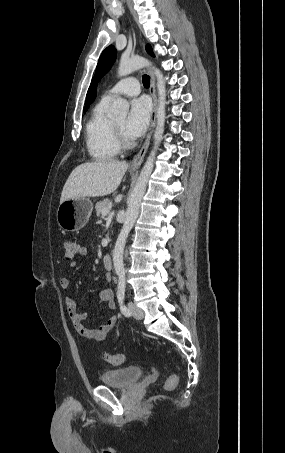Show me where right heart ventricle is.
<instances>
[{
	"instance_id": "obj_1",
	"label": "right heart ventricle",
	"mask_w": 285,
	"mask_h": 453,
	"mask_svg": "<svg viewBox=\"0 0 285 453\" xmlns=\"http://www.w3.org/2000/svg\"><path fill=\"white\" fill-rule=\"evenodd\" d=\"M110 101L101 99L94 107L86 125V146L90 156L97 161L115 158L121 151L113 120L108 116Z\"/></svg>"
}]
</instances>
